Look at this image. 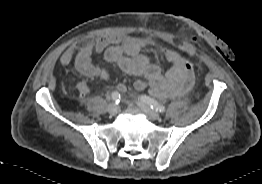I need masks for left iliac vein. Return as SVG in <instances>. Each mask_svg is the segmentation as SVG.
Wrapping results in <instances>:
<instances>
[{
	"mask_svg": "<svg viewBox=\"0 0 262 184\" xmlns=\"http://www.w3.org/2000/svg\"><path fill=\"white\" fill-rule=\"evenodd\" d=\"M139 107L141 110L146 113L151 119L153 120H158L160 119V114L154 110H152L149 106L143 104V103H138Z\"/></svg>",
	"mask_w": 262,
	"mask_h": 184,
	"instance_id": "4c4485c4",
	"label": "left iliac vein"
}]
</instances>
